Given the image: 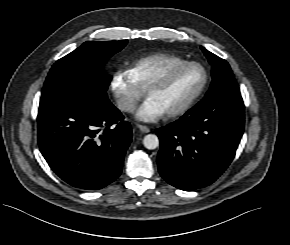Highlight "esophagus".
<instances>
[{"label":"esophagus","mask_w":290,"mask_h":245,"mask_svg":"<svg viewBox=\"0 0 290 245\" xmlns=\"http://www.w3.org/2000/svg\"><path fill=\"white\" fill-rule=\"evenodd\" d=\"M137 127L143 132V133H148L150 132V129L145 126V125H141V124H138Z\"/></svg>","instance_id":"1"}]
</instances>
